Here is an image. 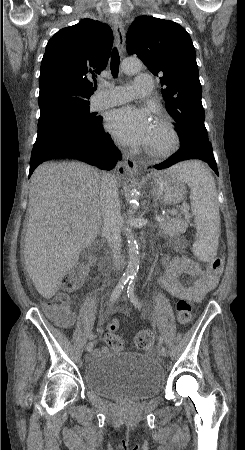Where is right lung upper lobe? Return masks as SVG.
<instances>
[{
	"label": "right lung upper lobe",
	"mask_w": 245,
	"mask_h": 450,
	"mask_svg": "<svg viewBox=\"0 0 245 450\" xmlns=\"http://www.w3.org/2000/svg\"><path fill=\"white\" fill-rule=\"evenodd\" d=\"M112 43L110 27L88 18L58 31L49 40L41 62L40 110L89 104L92 85L107 66Z\"/></svg>",
	"instance_id": "obj_1"
}]
</instances>
